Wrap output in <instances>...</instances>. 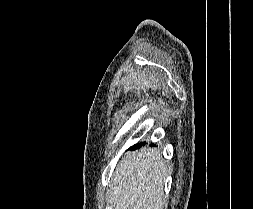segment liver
I'll use <instances>...</instances> for the list:
<instances>
[{
    "mask_svg": "<svg viewBox=\"0 0 253 209\" xmlns=\"http://www.w3.org/2000/svg\"><path fill=\"white\" fill-rule=\"evenodd\" d=\"M167 166L159 151L141 149L117 166L108 196L114 209H162Z\"/></svg>",
    "mask_w": 253,
    "mask_h": 209,
    "instance_id": "liver-1",
    "label": "liver"
}]
</instances>
